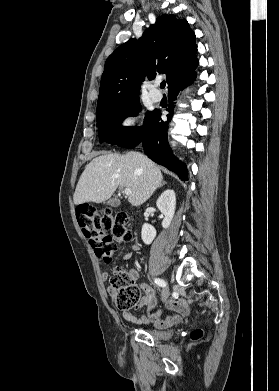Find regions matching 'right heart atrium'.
<instances>
[{"label":"right heart atrium","mask_w":279,"mask_h":391,"mask_svg":"<svg viewBox=\"0 0 279 391\" xmlns=\"http://www.w3.org/2000/svg\"><path fill=\"white\" fill-rule=\"evenodd\" d=\"M138 117L135 113H128L120 118L119 127L123 131H130L134 129L137 123Z\"/></svg>","instance_id":"d8ad5b80"}]
</instances>
